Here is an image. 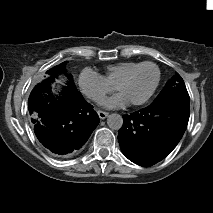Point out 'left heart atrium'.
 <instances>
[{
  "label": "left heart atrium",
  "instance_id": "1",
  "mask_svg": "<svg viewBox=\"0 0 213 213\" xmlns=\"http://www.w3.org/2000/svg\"><path fill=\"white\" fill-rule=\"evenodd\" d=\"M128 100L121 94L117 93L103 102L105 108L115 109L127 105Z\"/></svg>",
  "mask_w": 213,
  "mask_h": 213
}]
</instances>
